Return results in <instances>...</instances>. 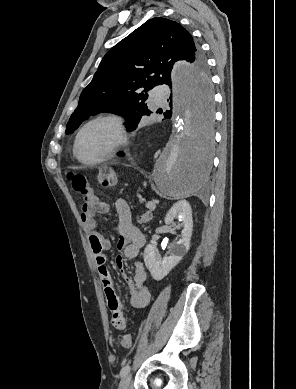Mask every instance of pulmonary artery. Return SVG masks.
Returning <instances> with one entry per match:
<instances>
[{
	"label": "pulmonary artery",
	"instance_id": "e3ab8cb5",
	"mask_svg": "<svg viewBox=\"0 0 296 389\" xmlns=\"http://www.w3.org/2000/svg\"><path fill=\"white\" fill-rule=\"evenodd\" d=\"M151 98L155 106H160L166 101V93L161 87H155L151 91Z\"/></svg>",
	"mask_w": 296,
	"mask_h": 389
}]
</instances>
